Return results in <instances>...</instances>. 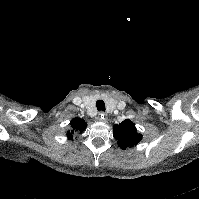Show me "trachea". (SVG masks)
I'll return each mask as SVG.
<instances>
[{
  "label": "trachea",
  "mask_w": 199,
  "mask_h": 199,
  "mask_svg": "<svg viewBox=\"0 0 199 199\" xmlns=\"http://www.w3.org/2000/svg\"><path fill=\"white\" fill-rule=\"evenodd\" d=\"M96 107L99 111H105V103L103 100H98L96 102Z\"/></svg>",
  "instance_id": "1"
}]
</instances>
